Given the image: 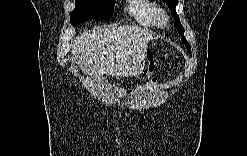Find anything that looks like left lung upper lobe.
I'll use <instances>...</instances> for the list:
<instances>
[{
  "instance_id": "obj_1",
  "label": "left lung upper lobe",
  "mask_w": 247,
  "mask_h": 156,
  "mask_svg": "<svg viewBox=\"0 0 247 156\" xmlns=\"http://www.w3.org/2000/svg\"><path fill=\"white\" fill-rule=\"evenodd\" d=\"M165 2L167 4V6L169 7V9L171 10V12L173 13V16H174L175 22H176L177 30H178L179 34L181 35L182 42L185 44V46L187 48V52L191 53V47H190V45L188 44V42L186 41V39L184 37V28L181 25L179 16L175 11V7L178 4V0H165Z\"/></svg>"
}]
</instances>
